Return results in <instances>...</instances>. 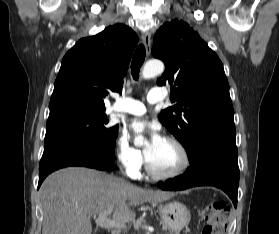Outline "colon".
Segmentation results:
<instances>
[{
	"mask_svg": "<svg viewBox=\"0 0 279 234\" xmlns=\"http://www.w3.org/2000/svg\"><path fill=\"white\" fill-rule=\"evenodd\" d=\"M229 207L220 198L206 205L201 211V218L205 222L202 234H225Z\"/></svg>",
	"mask_w": 279,
	"mask_h": 234,
	"instance_id": "colon-1",
	"label": "colon"
}]
</instances>
